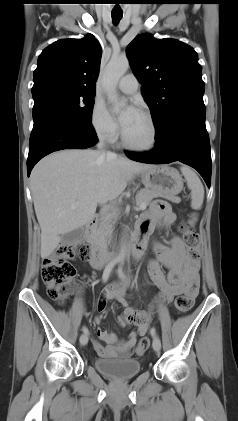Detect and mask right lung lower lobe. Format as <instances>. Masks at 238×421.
<instances>
[{"label":"right lung lower lobe","mask_w":238,"mask_h":421,"mask_svg":"<svg viewBox=\"0 0 238 421\" xmlns=\"http://www.w3.org/2000/svg\"><path fill=\"white\" fill-rule=\"evenodd\" d=\"M33 120L27 160L28 176L40 159L54 151L85 149L97 142L92 125L80 123L57 108H39L33 111Z\"/></svg>","instance_id":"98d812e1"}]
</instances>
